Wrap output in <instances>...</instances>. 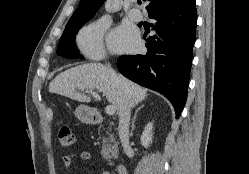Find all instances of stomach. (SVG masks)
<instances>
[{
	"label": "stomach",
	"instance_id": "0dacf381",
	"mask_svg": "<svg viewBox=\"0 0 249 174\" xmlns=\"http://www.w3.org/2000/svg\"><path fill=\"white\" fill-rule=\"evenodd\" d=\"M93 110L85 105H80L75 110V116L84 123H90L93 119Z\"/></svg>",
	"mask_w": 249,
	"mask_h": 174
}]
</instances>
